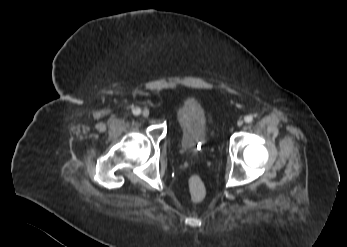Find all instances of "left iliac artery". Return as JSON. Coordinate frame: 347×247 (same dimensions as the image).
<instances>
[{"label": "left iliac artery", "instance_id": "44dca946", "mask_svg": "<svg viewBox=\"0 0 347 247\" xmlns=\"http://www.w3.org/2000/svg\"><path fill=\"white\" fill-rule=\"evenodd\" d=\"M253 121V116L252 115H248L245 117V122L246 123H251Z\"/></svg>", "mask_w": 347, "mask_h": 247}]
</instances>
